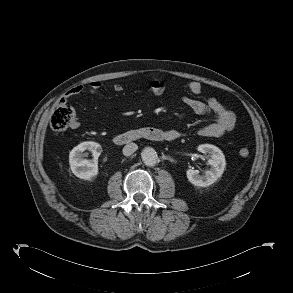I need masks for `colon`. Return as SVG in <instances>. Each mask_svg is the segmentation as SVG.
Returning <instances> with one entry per match:
<instances>
[{
	"label": "colon",
	"mask_w": 293,
	"mask_h": 293,
	"mask_svg": "<svg viewBox=\"0 0 293 293\" xmlns=\"http://www.w3.org/2000/svg\"><path fill=\"white\" fill-rule=\"evenodd\" d=\"M75 122V111L72 106L66 102L60 101L57 103L50 121V126L55 132L66 131ZM239 155L248 157L250 152L247 148H240Z\"/></svg>",
	"instance_id": "colon-1"
}]
</instances>
